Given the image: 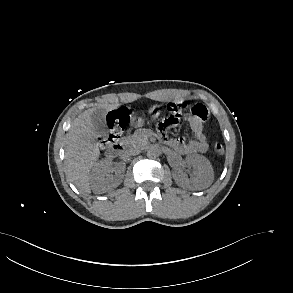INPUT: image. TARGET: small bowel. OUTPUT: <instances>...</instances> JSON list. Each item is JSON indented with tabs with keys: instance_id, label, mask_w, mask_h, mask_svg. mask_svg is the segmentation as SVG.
<instances>
[{
	"instance_id": "small-bowel-1",
	"label": "small bowel",
	"mask_w": 293,
	"mask_h": 293,
	"mask_svg": "<svg viewBox=\"0 0 293 293\" xmlns=\"http://www.w3.org/2000/svg\"><path fill=\"white\" fill-rule=\"evenodd\" d=\"M185 120L190 124L193 139L188 143L183 142L181 139H172L169 141V145L177 153L183 155L204 153L208 148V143L203 130L202 120L193 116H186Z\"/></svg>"
}]
</instances>
